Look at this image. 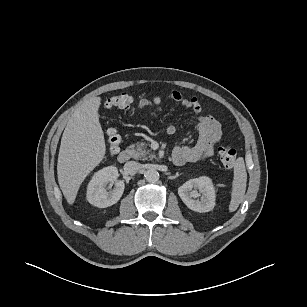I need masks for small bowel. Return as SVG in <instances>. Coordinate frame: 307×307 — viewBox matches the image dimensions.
<instances>
[{
    "instance_id": "obj_1",
    "label": "small bowel",
    "mask_w": 307,
    "mask_h": 307,
    "mask_svg": "<svg viewBox=\"0 0 307 307\" xmlns=\"http://www.w3.org/2000/svg\"><path fill=\"white\" fill-rule=\"evenodd\" d=\"M171 97L176 102L191 110L197 117L198 138L193 146L177 144L173 148L172 159L176 165L195 162L213 155V144L220 140L222 129L220 122L213 116H203L202 107L196 98L186 99L180 92L174 91ZM145 100V99H143ZM176 132L174 125L167 127V133ZM118 151H111L116 154Z\"/></svg>"
}]
</instances>
